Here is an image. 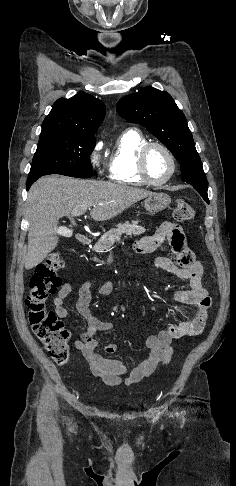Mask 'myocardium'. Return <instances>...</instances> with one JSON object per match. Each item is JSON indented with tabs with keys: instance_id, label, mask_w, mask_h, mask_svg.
Segmentation results:
<instances>
[{
	"instance_id": "myocardium-1",
	"label": "myocardium",
	"mask_w": 236,
	"mask_h": 486,
	"mask_svg": "<svg viewBox=\"0 0 236 486\" xmlns=\"http://www.w3.org/2000/svg\"><path fill=\"white\" fill-rule=\"evenodd\" d=\"M153 147H157V148H160L161 150H163L165 152V154L168 156V158L170 160V164H171V169H170L169 174L163 180H160V181L152 180L150 178V176L148 175L147 168H146V158H147L148 152ZM176 168H177V163H176V159H175L174 154L166 145H164L160 142H147V143H145L140 148V150L137 154V171H138L140 178L143 180V182L145 184H148V185H151V186H162V185L168 183L173 178V176L176 172Z\"/></svg>"
}]
</instances>
